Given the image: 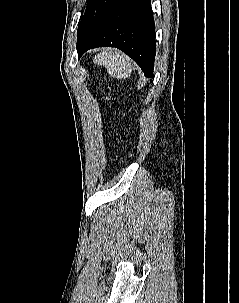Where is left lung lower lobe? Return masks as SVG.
I'll return each instance as SVG.
<instances>
[{"label": "left lung lower lobe", "instance_id": "obj_1", "mask_svg": "<svg viewBox=\"0 0 239 303\" xmlns=\"http://www.w3.org/2000/svg\"><path fill=\"white\" fill-rule=\"evenodd\" d=\"M155 25L150 0H117L98 26L80 46L79 57L87 50L110 46L130 56L146 77H154Z\"/></svg>", "mask_w": 239, "mask_h": 303}]
</instances>
